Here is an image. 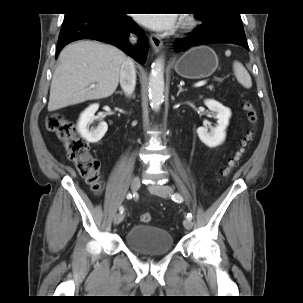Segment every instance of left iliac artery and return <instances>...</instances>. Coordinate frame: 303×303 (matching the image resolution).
I'll return each mask as SVG.
<instances>
[{
	"label": "left iliac artery",
	"mask_w": 303,
	"mask_h": 303,
	"mask_svg": "<svg viewBox=\"0 0 303 303\" xmlns=\"http://www.w3.org/2000/svg\"><path fill=\"white\" fill-rule=\"evenodd\" d=\"M172 199H173V201L178 202V203L183 202V198L179 193H175L174 195H172ZM187 218L192 219V214L188 213Z\"/></svg>",
	"instance_id": "obj_1"
}]
</instances>
